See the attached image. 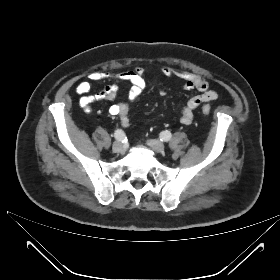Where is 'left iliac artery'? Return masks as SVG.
Masks as SVG:
<instances>
[{
    "label": "left iliac artery",
    "instance_id": "1",
    "mask_svg": "<svg viewBox=\"0 0 280 280\" xmlns=\"http://www.w3.org/2000/svg\"><path fill=\"white\" fill-rule=\"evenodd\" d=\"M172 135L169 131H163L161 134H160V140L161 141H169L171 139Z\"/></svg>",
    "mask_w": 280,
    "mask_h": 280
}]
</instances>
